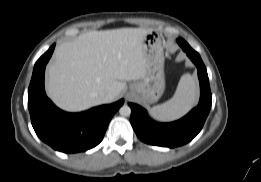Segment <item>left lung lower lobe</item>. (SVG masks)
<instances>
[{
  "label": "left lung lower lobe",
  "instance_id": "0a47b994",
  "mask_svg": "<svg viewBox=\"0 0 261 182\" xmlns=\"http://www.w3.org/2000/svg\"><path fill=\"white\" fill-rule=\"evenodd\" d=\"M196 65L200 82L199 104L182 119L171 123H158L150 119L139 105L129 103L130 122L138 138L155 146L174 148L191 141L202 129L209 114L212 95L206 67L200 55L191 47L182 48Z\"/></svg>",
  "mask_w": 261,
  "mask_h": 182
}]
</instances>
